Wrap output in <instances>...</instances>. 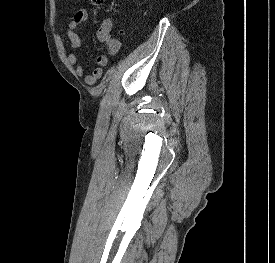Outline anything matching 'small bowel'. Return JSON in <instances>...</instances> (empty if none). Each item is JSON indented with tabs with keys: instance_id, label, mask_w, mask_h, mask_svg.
Wrapping results in <instances>:
<instances>
[{
	"instance_id": "small-bowel-1",
	"label": "small bowel",
	"mask_w": 275,
	"mask_h": 263,
	"mask_svg": "<svg viewBox=\"0 0 275 263\" xmlns=\"http://www.w3.org/2000/svg\"><path fill=\"white\" fill-rule=\"evenodd\" d=\"M88 18L89 12L87 9L83 8L77 10L73 19L69 22L67 26V37L72 49H78L81 47V25L86 22ZM97 37L106 45L110 54L116 55L121 50V42L112 34L110 23L103 25L98 30ZM67 60L71 66H75L76 75L80 78L84 77V81L88 85H94L102 77L103 68L108 66L107 56L99 55L96 59L97 67L84 75L83 64L79 61L78 55L75 52L70 53Z\"/></svg>"
}]
</instances>
